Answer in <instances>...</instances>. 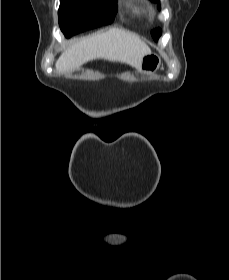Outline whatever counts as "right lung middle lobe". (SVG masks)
Returning a JSON list of instances; mask_svg holds the SVG:
<instances>
[{
  "mask_svg": "<svg viewBox=\"0 0 229 280\" xmlns=\"http://www.w3.org/2000/svg\"><path fill=\"white\" fill-rule=\"evenodd\" d=\"M117 0H60L59 25L66 37L110 24L117 11Z\"/></svg>",
  "mask_w": 229,
  "mask_h": 280,
  "instance_id": "obj_1",
  "label": "right lung middle lobe"
}]
</instances>
